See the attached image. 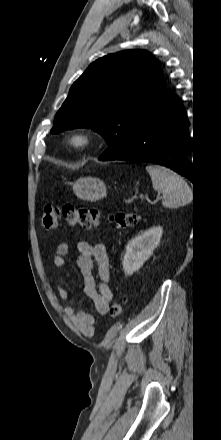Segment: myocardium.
I'll return each instance as SVG.
<instances>
[{"mask_svg":"<svg viewBox=\"0 0 221 440\" xmlns=\"http://www.w3.org/2000/svg\"><path fill=\"white\" fill-rule=\"evenodd\" d=\"M93 133L85 127H74L70 129L65 137L64 144L67 149L75 152L88 150L94 143Z\"/></svg>","mask_w":221,"mask_h":440,"instance_id":"obj_1","label":"myocardium"}]
</instances>
